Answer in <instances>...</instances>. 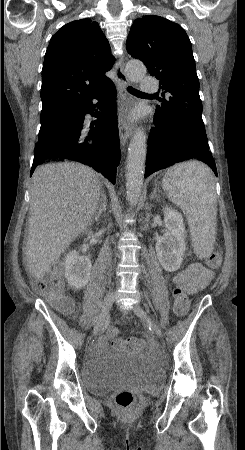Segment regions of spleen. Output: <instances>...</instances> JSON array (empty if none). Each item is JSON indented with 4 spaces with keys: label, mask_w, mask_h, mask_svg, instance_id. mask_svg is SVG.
<instances>
[{
    "label": "spleen",
    "mask_w": 245,
    "mask_h": 450,
    "mask_svg": "<svg viewBox=\"0 0 245 450\" xmlns=\"http://www.w3.org/2000/svg\"><path fill=\"white\" fill-rule=\"evenodd\" d=\"M162 187L187 218L195 254L206 258L213 250L217 230V199L212 171L199 161L180 163L166 172Z\"/></svg>",
    "instance_id": "1"
}]
</instances>
